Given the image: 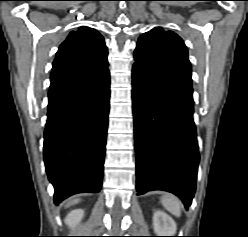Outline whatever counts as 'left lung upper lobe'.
<instances>
[{
    "label": "left lung upper lobe",
    "mask_w": 248,
    "mask_h": 237,
    "mask_svg": "<svg viewBox=\"0 0 248 237\" xmlns=\"http://www.w3.org/2000/svg\"><path fill=\"white\" fill-rule=\"evenodd\" d=\"M134 58L136 63L169 81L192 85L187 48L172 31L154 28L141 35Z\"/></svg>",
    "instance_id": "left-lung-upper-lobe-1"
}]
</instances>
